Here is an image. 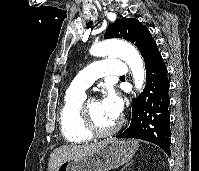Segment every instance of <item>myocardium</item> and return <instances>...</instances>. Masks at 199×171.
I'll return each mask as SVG.
<instances>
[{"label": "myocardium", "mask_w": 199, "mask_h": 171, "mask_svg": "<svg viewBox=\"0 0 199 171\" xmlns=\"http://www.w3.org/2000/svg\"><path fill=\"white\" fill-rule=\"evenodd\" d=\"M93 99L94 98L85 99L83 101V105H82V111L84 114L85 125H86L87 130L92 135H96V136H105V135H110V134L117 132L121 127V124H122L121 121H117L109 127H101L96 123V121L89 109V102Z\"/></svg>", "instance_id": "1"}]
</instances>
